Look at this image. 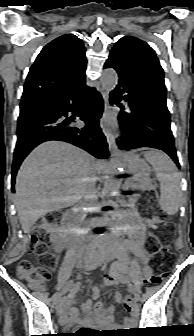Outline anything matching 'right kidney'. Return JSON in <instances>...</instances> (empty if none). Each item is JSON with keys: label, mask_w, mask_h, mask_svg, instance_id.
<instances>
[{"label": "right kidney", "mask_w": 194, "mask_h": 336, "mask_svg": "<svg viewBox=\"0 0 194 336\" xmlns=\"http://www.w3.org/2000/svg\"><path fill=\"white\" fill-rule=\"evenodd\" d=\"M49 232H50V240L54 243V245L57 246L58 244V232H59V228L57 226V224H51L50 228H49Z\"/></svg>", "instance_id": "obj_1"}]
</instances>
